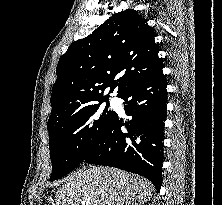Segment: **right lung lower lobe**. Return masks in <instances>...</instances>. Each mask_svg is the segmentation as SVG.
<instances>
[{
    "mask_svg": "<svg viewBox=\"0 0 222 205\" xmlns=\"http://www.w3.org/2000/svg\"><path fill=\"white\" fill-rule=\"evenodd\" d=\"M167 80L162 68L129 86L120 98L124 122L116 114L111 124L96 138L84 161L142 175L159 191L162 183L163 135L166 118ZM125 126L127 132L121 128Z\"/></svg>",
    "mask_w": 222,
    "mask_h": 205,
    "instance_id": "right-lung-lower-lobe-1",
    "label": "right lung lower lobe"
}]
</instances>
